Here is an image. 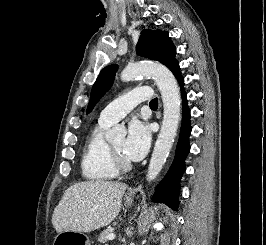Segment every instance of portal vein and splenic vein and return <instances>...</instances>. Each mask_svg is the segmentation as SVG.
Segmentation results:
<instances>
[{
    "mask_svg": "<svg viewBox=\"0 0 266 245\" xmlns=\"http://www.w3.org/2000/svg\"><path fill=\"white\" fill-rule=\"evenodd\" d=\"M116 235H114V233H112V235H108V237H106V239H108V241H113V239H115Z\"/></svg>",
    "mask_w": 266,
    "mask_h": 245,
    "instance_id": "obj_1",
    "label": "portal vein and splenic vein"
}]
</instances>
